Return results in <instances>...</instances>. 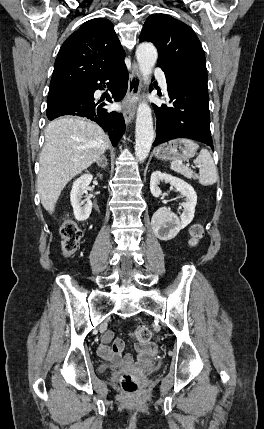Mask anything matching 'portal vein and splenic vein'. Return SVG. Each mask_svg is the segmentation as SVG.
Segmentation results:
<instances>
[{
    "label": "portal vein and splenic vein",
    "mask_w": 264,
    "mask_h": 429,
    "mask_svg": "<svg viewBox=\"0 0 264 429\" xmlns=\"http://www.w3.org/2000/svg\"><path fill=\"white\" fill-rule=\"evenodd\" d=\"M186 166H187V167H189V166H190V164H186ZM191 167H192V168H195V166H191Z\"/></svg>",
    "instance_id": "portal-vein-and-splenic-vein-1"
}]
</instances>
